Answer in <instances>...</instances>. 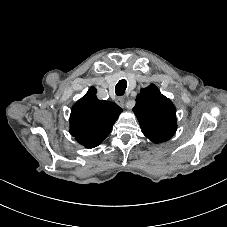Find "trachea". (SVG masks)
I'll return each mask as SVG.
<instances>
[{"label":"trachea","mask_w":227,"mask_h":227,"mask_svg":"<svg viewBox=\"0 0 227 227\" xmlns=\"http://www.w3.org/2000/svg\"><path fill=\"white\" fill-rule=\"evenodd\" d=\"M127 88V81L125 79L119 80L115 87V93L117 96H122Z\"/></svg>","instance_id":"1"}]
</instances>
